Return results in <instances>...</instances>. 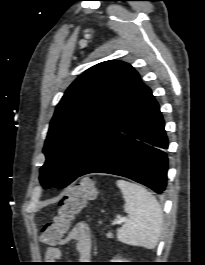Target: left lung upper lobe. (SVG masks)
Wrapping results in <instances>:
<instances>
[{
    "mask_svg": "<svg viewBox=\"0 0 205 265\" xmlns=\"http://www.w3.org/2000/svg\"><path fill=\"white\" fill-rule=\"evenodd\" d=\"M129 64L110 60L80 75L56 107L43 148L45 188L73 182L147 90Z\"/></svg>",
    "mask_w": 205,
    "mask_h": 265,
    "instance_id": "5c2ea615",
    "label": "left lung upper lobe"
}]
</instances>
